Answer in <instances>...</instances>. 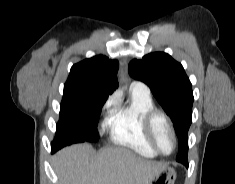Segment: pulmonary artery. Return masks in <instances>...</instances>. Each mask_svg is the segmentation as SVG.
Wrapping results in <instances>:
<instances>
[{"label":"pulmonary artery","mask_w":235,"mask_h":184,"mask_svg":"<svg viewBox=\"0 0 235 184\" xmlns=\"http://www.w3.org/2000/svg\"><path fill=\"white\" fill-rule=\"evenodd\" d=\"M130 89L132 92L140 96L150 97L151 95L149 86L141 81H133L130 85Z\"/></svg>","instance_id":"pulmonary-artery-1"}]
</instances>
